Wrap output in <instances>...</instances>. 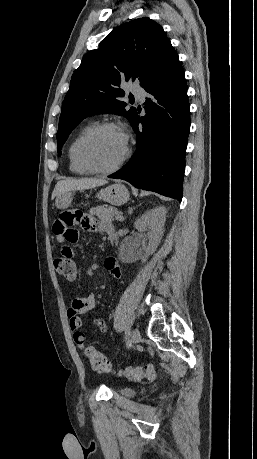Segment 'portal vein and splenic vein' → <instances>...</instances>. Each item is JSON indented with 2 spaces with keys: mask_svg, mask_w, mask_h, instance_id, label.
<instances>
[{
  "mask_svg": "<svg viewBox=\"0 0 257 459\" xmlns=\"http://www.w3.org/2000/svg\"><path fill=\"white\" fill-rule=\"evenodd\" d=\"M116 219H117V220H123V216H122L121 214H120V215H117V216H116Z\"/></svg>",
  "mask_w": 257,
  "mask_h": 459,
  "instance_id": "portal-vein-and-splenic-vein-1",
  "label": "portal vein and splenic vein"
}]
</instances>
